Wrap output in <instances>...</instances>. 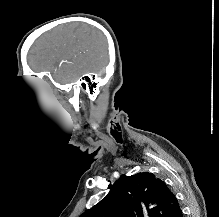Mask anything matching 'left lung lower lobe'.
Here are the masks:
<instances>
[{
  "mask_svg": "<svg viewBox=\"0 0 219 217\" xmlns=\"http://www.w3.org/2000/svg\"><path fill=\"white\" fill-rule=\"evenodd\" d=\"M175 217H183L182 210L180 209Z\"/></svg>",
  "mask_w": 219,
  "mask_h": 217,
  "instance_id": "obj_1",
  "label": "left lung lower lobe"
}]
</instances>
